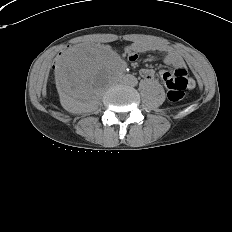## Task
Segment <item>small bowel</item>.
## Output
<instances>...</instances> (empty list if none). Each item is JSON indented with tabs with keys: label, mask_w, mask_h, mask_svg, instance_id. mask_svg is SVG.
Segmentation results:
<instances>
[{
	"label": "small bowel",
	"mask_w": 232,
	"mask_h": 232,
	"mask_svg": "<svg viewBox=\"0 0 232 232\" xmlns=\"http://www.w3.org/2000/svg\"><path fill=\"white\" fill-rule=\"evenodd\" d=\"M164 52V62L170 66H172L175 70L176 75H185L187 76V68L185 65V62L180 55V53L172 49L166 45L156 43V42H149V41H134L127 47V52L130 54V59L132 62H135L137 57V53H145V52ZM140 75L145 79H152L154 76L153 70L150 69H141ZM161 79L165 81L167 78H169L171 73H169L166 70L161 71L160 73ZM191 81V84L189 88L195 87V82L193 79L189 78Z\"/></svg>",
	"instance_id": "obj_1"
}]
</instances>
